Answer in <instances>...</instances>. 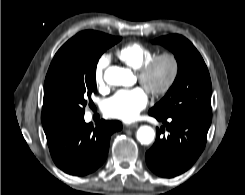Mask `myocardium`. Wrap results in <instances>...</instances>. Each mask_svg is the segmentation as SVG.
Returning <instances> with one entry per match:
<instances>
[{"instance_id":"f54148a6","label":"myocardium","mask_w":245,"mask_h":195,"mask_svg":"<svg viewBox=\"0 0 245 195\" xmlns=\"http://www.w3.org/2000/svg\"><path fill=\"white\" fill-rule=\"evenodd\" d=\"M162 61H166L169 65V73L164 83L158 87L150 84V76L155 67ZM180 64L176 54L172 52H163L154 55L150 60L144 63L137 70L139 82L154 96H163L168 93L174 86L179 75Z\"/></svg>"}]
</instances>
